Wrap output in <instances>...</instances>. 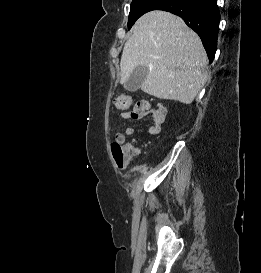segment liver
<instances>
[{
    "instance_id": "1",
    "label": "liver",
    "mask_w": 261,
    "mask_h": 273,
    "mask_svg": "<svg viewBox=\"0 0 261 273\" xmlns=\"http://www.w3.org/2000/svg\"><path fill=\"white\" fill-rule=\"evenodd\" d=\"M208 58L199 36L184 21L165 11L141 16L126 41L121 62L124 84L137 66L149 73L143 92L159 99L190 104L206 83Z\"/></svg>"
}]
</instances>
